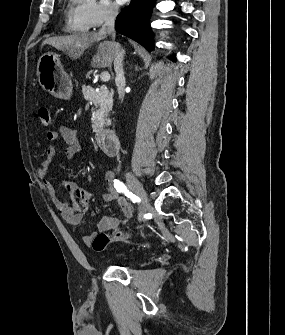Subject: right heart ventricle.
<instances>
[{
	"label": "right heart ventricle",
	"mask_w": 285,
	"mask_h": 335,
	"mask_svg": "<svg viewBox=\"0 0 285 335\" xmlns=\"http://www.w3.org/2000/svg\"><path fill=\"white\" fill-rule=\"evenodd\" d=\"M80 26L82 27V28H87V27H89V24L87 23V21L85 20L84 22H81L80 23Z\"/></svg>",
	"instance_id": "right-heart-ventricle-1"
}]
</instances>
